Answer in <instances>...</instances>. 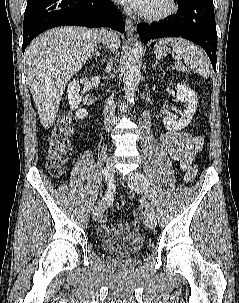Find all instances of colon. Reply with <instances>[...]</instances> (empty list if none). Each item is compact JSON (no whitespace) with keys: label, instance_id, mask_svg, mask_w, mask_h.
<instances>
[{"label":"colon","instance_id":"1","mask_svg":"<svg viewBox=\"0 0 239 303\" xmlns=\"http://www.w3.org/2000/svg\"><path fill=\"white\" fill-rule=\"evenodd\" d=\"M75 120L72 115L62 116L48 138V148L46 154V166L50 174L54 177H61L68 160V153L71 145V135L73 132ZM125 208V200L118 198L116 209L122 211ZM136 223L139 219L135 218Z\"/></svg>","mask_w":239,"mask_h":303}]
</instances>
